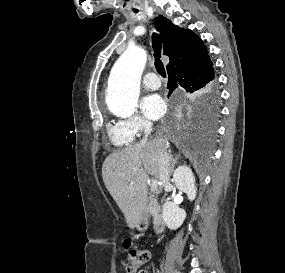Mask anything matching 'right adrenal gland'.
<instances>
[{
    "label": "right adrenal gland",
    "mask_w": 285,
    "mask_h": 273,
    "mask_svg": "<svg viewBox=\"0 0 285 273\" xmlns=\"http://www.w3.org/2000/svg\"><path fill=\"white\" fill-rule=\"evenodd\" d=\"M180 155H177L176 157H173L172 154H170V160H171V171L170 175L174 172L175 164L177 163Z\"/></svg>",
    "instance_id": "obj_1"
}]
</instances>
